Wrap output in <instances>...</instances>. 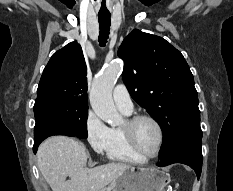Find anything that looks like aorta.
<instances>
[{
    "label": "aorta",
    "instance_id": "aorta-1",
    "mask_svg": "<svg viewBox=\"0 0 233 191\" xmlns=\"http://www.w3.org/2000/svg\"><path fill=\"white\" fill-rule=\"evenodd\" d=\"M122 68L121 61L106 66L94 79L90 92V104L94 113L112 126H117L122 121L112 99V90Z\"/></svg>",
    "mask_w": 233,
    "mask_h": 191
}]
</instances>
